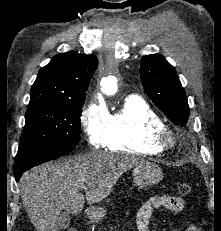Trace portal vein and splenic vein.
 Segmentation results:
<instances>
[{
	"label": "portal vein and splenic vein",
	"mask_w": 221,
	"mask_h": 231,
	"mask_svg": "<svg viewBox=\"0 0 221 231\" xmlns=\"http://www.w3.org/2000/svg\"><path fill=\"white\" fill-rule=\"evenodd\" d=\"M82 189H84V190H85V189H86V187H85V186H82Z\"/></svg>",
	"instance_id": "portal-vein-and-splenic-vein-1"
}]
</instances>
